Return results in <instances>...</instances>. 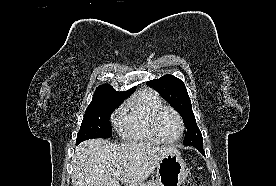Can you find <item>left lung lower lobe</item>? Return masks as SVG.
Instances as JSON below:
<instances>
[{
  "label": "left lung lower lobe",
  "instance_id": "0a47b994",
  "mask_svg": "<svg viewBox=\"0 0 276 186\" xmlns=\"http://www.w3.org/2000/svg\"><path fill=\"white\" fill-rule=\"evenodd\" d=\"M192 146L195 147L196 149H198L199 152H201L203 155H205V152L203 150V144L192 145Z\"/></svg>",
  "mask_w": 276,
  "mask_h": 186
}]
</instances>
